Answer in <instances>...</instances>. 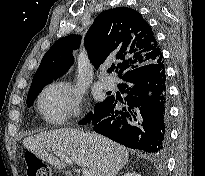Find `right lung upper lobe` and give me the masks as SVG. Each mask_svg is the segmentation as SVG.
<instances>
[{
	"mask_svg": "<svg viewBox=\"0 0 205 176\" xmlns=\"http://www.w3.org/2000/svg\"><path fill=\"white\" fill-rule=\"evenodd\" d=\"M80 42L79 35L58 39L42 58L29 92L61 77L73 64L72 51L79 48ZM84 43L96 69L105 60H113L118 63L116 72L120 78L138 66L163 60L150 25L140 13L127 7L99 14Z\"/></svg>",
	"mask_w": 205,
	"mask_h": 176,
	"instance_id": "1",
	"label": "right lung upper lobe"
}]
</instances>
